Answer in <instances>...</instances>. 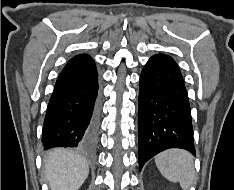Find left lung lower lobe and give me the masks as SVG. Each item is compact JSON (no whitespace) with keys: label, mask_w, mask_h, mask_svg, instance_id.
<instances>
[{"label":"left lung lower lobe","mask_w":234,"mask_h":190,"mask_svg":"<svg viewBox=\"0 0 234 190\" xmlns=\"http://www.w3.org/2000/svg\"><path fill=\"white\" fill-rule=\"evenodd\" d=\"M139 170L159 152L181 148L195 155L191 109L183 76L168 55L145 64L138 104Z\"/></svg>","instance_id":"1"}]
</instances>
